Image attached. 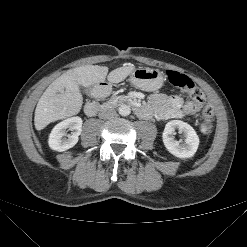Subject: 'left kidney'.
<instances>
[{
    "label": "left kidney",
    "instance_id": "left-kidney-1",
    "mask_svg": "<svg viewBox=\"0 0 247 247\" xmlns=\"http://www.w3.org/2000/svg\"><path fill=\"white\" fill-rule=\"evenodd\" d=\"M175 129L183 133L184 142L174 138ZM162 139L166 149L178 158L194 156L199 146V137L196 131L188 123L181 120L169 121L163 131Z\"/></svg>",
    "mask_w": 247,
    "mask_h": 247
}]
</instances>
